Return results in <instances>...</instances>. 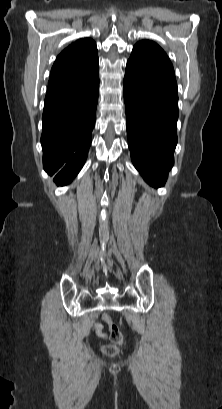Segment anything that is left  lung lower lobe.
Listing matches in <instances>:
<instances>
[{"label": "left lung lower lobe", "instance_id": "obj_1", "mask_svg": "<svg viewBox=\"0 0 222 409\" xmlns=\"http://www.w3.org/2000/svg\"><path fill=\"white\" fill-rule=\"evenodd\" d=\"M124 101L132 162L147 183L163 186L174 163L178 95L125 73Z\"/></svg>", "mask_w": 222, "mask_h": 409}]
</instances>
